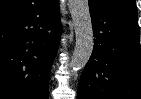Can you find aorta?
Masks as SVG:
<instances>
[{"label": "aorta", "instance_id": "obj_1", "mask_svg": "<svg viewBox=\"0 0 141 99\" xmlns=\"http://www.w3.org/2000/svg\"><path fill=\"white\" fill-rule=\"evenodd\" d=\"M76 43L70 61L71 73L81 70L90 59L94 47L88 0H68Z\"/></svg>", "mask_w": 141, "mask_h": 99}]
</instances>
